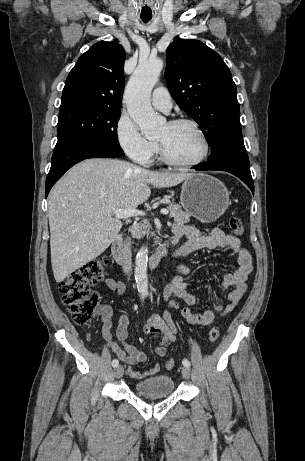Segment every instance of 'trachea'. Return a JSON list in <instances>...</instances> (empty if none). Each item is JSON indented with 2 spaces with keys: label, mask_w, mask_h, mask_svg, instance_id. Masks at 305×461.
Segmentation results:
<instances>
[{
  "label": "trachea",
  "mask_w": 305,
  "mask_h": 461,
  "mask_svg": "<svg viewBox=\"0 0 305 461\" xmlns=\"http://www.w3.org/2000/svg\"><path fill=\"white\" fill-rule=\"evenodd\" d=\"M141 19H142L143 22H145V23L151 20V18H141Z\"/></svg>",
  "instance_id": "trachea-1"
}]
</instances>
